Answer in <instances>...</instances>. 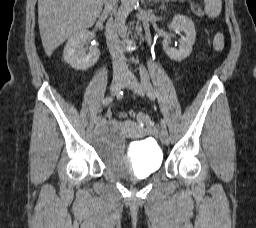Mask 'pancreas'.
I'll use <instances>...</instances> for the list:
<instances>
[{"label":"pancreas","instance_id":"cf45deb5","mask_svg":"<svg viewBox=\"0 0 256 228\" xmlns=\"http://www.w3.org/2000/svg\"><path fill=\"white\" fill-rule=\"evenodd\" d=\"M166 2H176V1H179V2H184V0H165Z\"/></svg>","mask_w":256,"mask_h":228}]
</instances>
